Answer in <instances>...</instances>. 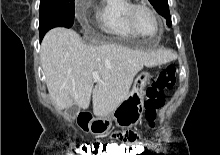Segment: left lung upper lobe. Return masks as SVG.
Wrapping results in <instances>:
<instances>
[{
    "label": "left lung upper lobe",
    "instance_id": "1",
    "mask_svg": "<svg viewBox=\"0 0 220 155\" xmlns=\"http://www.w3.org/2000/svg\"><path fill=\"white\" fill-rule=\"evenodd\" d=\"M156 11L166 19V24L171 26V17L167 0H149Z\"/></svg>",
    "mask_w": 220,
    "mask_h": 155
}]
</instances>
